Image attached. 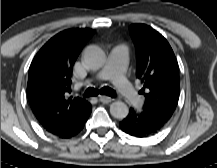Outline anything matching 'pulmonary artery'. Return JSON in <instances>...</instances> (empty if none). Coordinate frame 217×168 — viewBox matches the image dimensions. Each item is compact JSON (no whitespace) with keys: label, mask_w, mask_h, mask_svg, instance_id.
Masks as SVG:
<instances>
[{"label":"pulmonary artery","mask_w":217,"mask_h":168,"mask_svg":"<svg viewBox=\"0 0 217 168\" xmlns=\"http://www.w3.org/2000/svg\"><path fill=\"white\" fill-rule=\"evenodd\" d=\"M128 57L129 53L125 45H115L110 51L107 65L95 75L94 79L111 80L128 104L139 106L142 98L125 77Z\"/></svg>","instance_id":"e3ab8cb5"}]
</instances>
